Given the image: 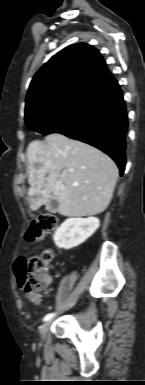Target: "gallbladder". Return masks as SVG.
I'll return each mask as SVG.
<instances>
[{
  "label": "gallbladder",
  "instance_id": "1",
  "mask_svg": "<svg viewBox=\"0 0 145 385\" xmlns=\"http://www.w3.org/2000/svg\"><path fill=\"white\" fill-rule=\"evenodd\" d=\"M59 203L57 200L52 199L46 204V209L49 212L56 213L58 211Z\"/></svg>",
  "mask_w": 145,
  "mask_h": 385
}]
</instances>
